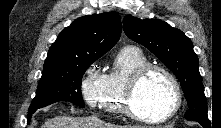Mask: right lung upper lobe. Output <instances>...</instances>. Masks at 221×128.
Instances as JSON below:
<instances>
[{
  "label": "right lung upper lobe",
  "instance_id": "cb5924a9",
  "mask_svg": "<svg viewBox=\"0 0 221 128\" xmlns=\"http://www.w3.org/2000/svg\"><path fill=\"white\" fill-rule=\"evenodd\" d=\"M121 35V19L114 12L83 16L66 27L49 49L44 70L99 58Z\"/></svg>",
  "mask_w": 221,
  "mask_h": 128
}]
</instances>
